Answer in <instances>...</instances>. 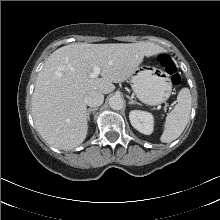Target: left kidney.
Here are the masks:
<instances>
[{
  "instance_id": "1",
  "label": "left kidney",
  "mask_w": 220,
  "mask_h": 220,
  "mask_svg": "<svg viewBox=\"0 0 220 220\" xmlns=\"http://www.w3.org/2000/svg\"><path fill=\"white\" fill-rule=\"evenodd\" d=\"M131 125L139 132L150 135L153 132L154 117L151 113L141 110H132L129 114Z\"/></svg>"
}]
</instances>
